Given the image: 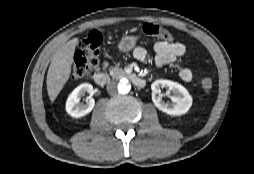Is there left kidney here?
<instances>
[{"instance_id": "left-kidney-1", "label": "left kidney", "mask_w": 254, "mask_h": 174, "mask_svg": "<svg viewBox=\"0 0 254 174\" xmlns=\"http://www.w3.org/2000/svg\"><path fill=\"white\" fill-rule=\"evenodd\" d=\"M167 88L172 95L171 103L164 102L160 95V89ZM152 89V101L154 105L169 115L180 116L187 113L192 105V96L188 90L177 82L170 80H156L151 85Z\"/></svg>"}]
</instances>
